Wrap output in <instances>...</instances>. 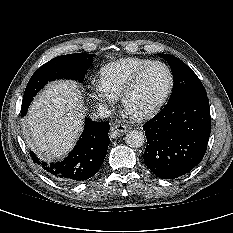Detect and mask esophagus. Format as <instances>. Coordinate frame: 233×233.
<instances>
[{
    "mask_svg": "<svg viewBox=\"0 0 233 233\" xmlns=\"http://www.w3.org/2000/svg\"><path fill=\"white\" fill-rule=\"evenodd\" d=\"M128 127L125 124H116L111 127V133L113 135H120L121 133H125Z\"/></svg>",
    "mask_w": 233,
    "mask_h": 233,
    "instance_id": "1",
    "label": "esophagus"
}]
</instances>
